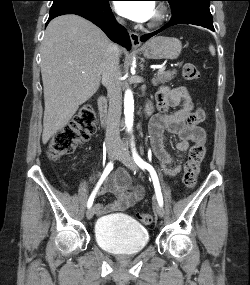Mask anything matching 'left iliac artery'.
I'll list each match as a JSON object with an SVG mask.
<instances>
[{
  "mask_svg": "<svg viewBox=\"0 0 250 285\" xmlns=\"http://www.w3.org/2000/svg\"><path fill=\"white\" fill-rule=\"evenodd\" d=\"M132 154H133V159L136 162V164L141 168V169H147L151 175L152 181H153V185H154V189H155V193H156V197H157V201L158 203L163 206V198H162V193H161V188H160V184H159V180H158V176L156 174V171L154 170V168L148 164L147 162H145L136 152V149L134 147V144L132 142Z\"/></svg>",
  "mask_w": 250,
  "mask_h": 285,
  "instance_id": "1",
  "label": "left iliac artery"
}]
</instances>
